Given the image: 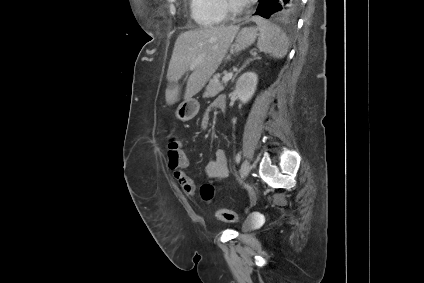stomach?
I'll return each instance as SVG.
<instances>
[{"mask_svg": "<svg viewBox=\"0 0 424 283\" xmlns=\"http://www.w3.org/2000/svg\"><path fill=\"white\" fill-rule=\"evenodd\" d=\"M257 37V30L254 28H243L240 30L235 39V43L233 45V51L235 53H238L246 48H248L250 45L254 43ZM200 109V105L197 100L194 98H186L184 101L178 106L175 114L176 117L183 121H189L192 118H194Z\"/></svg>", "mask_w": 424, "mask_h": 283, "instance_id": "obj_1", "label": "stomach"}]
</instances>
